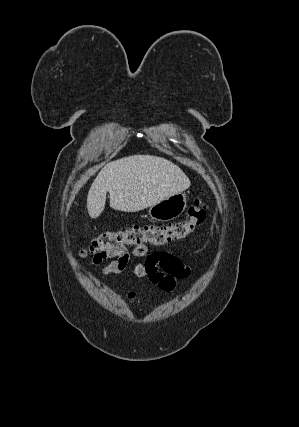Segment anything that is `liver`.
Segmentation results:
<instances>
[{"instance_id": "obj_1", "label": "liver", "mask_w": 299, "mask_h": 427, "mask_svg": "<svg viewBox=\"0 0 299 427\" xmlns=\"http://www.w3.org/2000/svg\"><path fill=\"white\" fill-rule=\"evenodd\" d=\"M190 185L186 174L164 158L128 156L102 168L89 189L87 210L91 218H97L105 208L109 192L111 208L137 212L183 192Z\"/></svg>"}]
</instances>
